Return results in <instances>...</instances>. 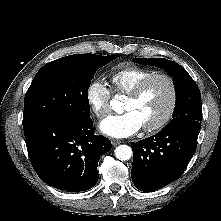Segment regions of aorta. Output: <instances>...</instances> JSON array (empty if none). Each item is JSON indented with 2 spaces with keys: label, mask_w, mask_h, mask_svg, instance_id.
<instances>
[{
  "label": "aorta",
  "mask_w": 221,
  "mask_h": 221,
  "mask_svg": "<svg viewBox=\"0 0 221 221\" xmlns=\"http://www.w3.org/2000/svg\"><path fill=\"white\" fill-rule=\"evenodd\" d=\"M115 102L116 101L113 102L114 106H115ZM115 156L117 157V159L121 161L129 160L132 156V149L128 145H119L115 149Z\"/></svg>",
  "instance_id": "1"
}]
</instances>
